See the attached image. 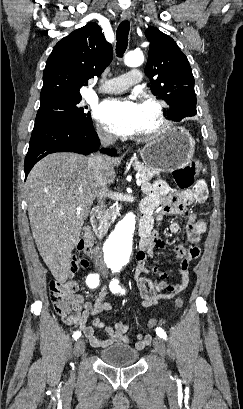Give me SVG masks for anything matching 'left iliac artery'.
Here are the masks:
<instances>
[{
  "label": "left iliac artery",
  "mask_w": 243,
  "mask_h": 409,
  "mask_svg": "<svg viewBox=\"0 0 243 409\" xmlns=\"http://www.w3.org/2000/svg\"><path fill=\"white\" fill-rule=\"evenodd\" d=\"M110 289L113 293H118L121 292V294L125 293V290L123 288H121V286L119 285V280L117 278L113 279L110 283ZM156 334L161 337L162 339L166 340L167 339V335L166 332L162 329V328H157L156 329Z\"/></svg>",
  "instance_id": "obj_1"
}]
</instances>
